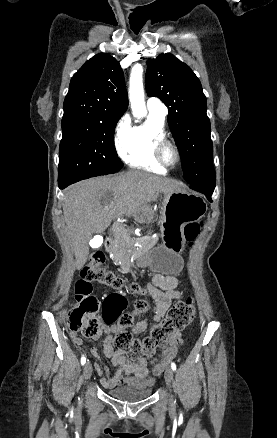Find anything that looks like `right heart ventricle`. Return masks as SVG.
I'll list each match as a JSON object with an SVG mask.
<instances>
[{
	"label": "right heart ventricle",
	"instance_id": "right-heart-ventricle-1",
	"mask_svg": "<svg viewBox=\"0 0 277 438\" xmlns=\"http://www.w3.org/2000/svg\"><path fill=\"white\" fill-rule=\"evenodd\" d=\"M163 138H166L164 120L148 113L142 124L128 125L127 133L119 144L120 155L131 168L166 174V169L157 162L154 153L155 144Z\"/></svg>",
	"mask_w": 277,
	"mask_h": 438
}]
</instances>
